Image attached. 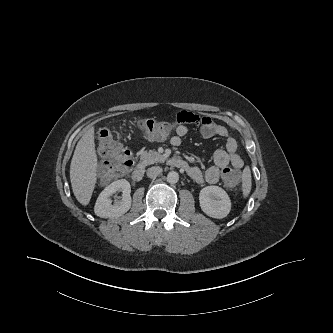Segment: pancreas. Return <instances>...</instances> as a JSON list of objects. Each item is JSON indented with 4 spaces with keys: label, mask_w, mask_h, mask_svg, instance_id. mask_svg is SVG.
<instances>
[{
    "label": "pancreas",
    "mask_w": 333,
    "mask_h": 333,
    "mask_svg": "<svg viewBox=\"0 0 333 333\" xmlns=\"http://www.w3.org/2000/svg\"><path fill=\"white\" fill-rule=\"evenodd\" d=\"M141 161L146 164V165H150V164H154V163H159V162H163L166 160V156L162 155L156 151H143L140 157Z\"/></svg>",
    "instance_id": "cf45deb5"
}]
</instances>
